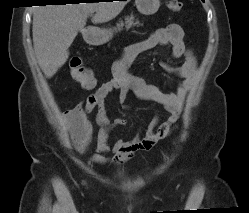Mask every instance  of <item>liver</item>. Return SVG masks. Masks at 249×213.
<instances>
[{
	"mask_svg": "<svg viewBox=\"0 0 249 213\" xmlns=\"http://www.w3.org/2000/svg\"><path fill=\"white\" fill-rule=\"evenodd\" d=\"M125 1L36 6L33 11V45L38 64L46 78L53 77L69 57V47L86 25L89 14L93 23L115 18Z\"/></svg>",
	"mask_w": 249,
	"mask_h": 213,
	"instance_id": "liver-1",
	"label": "liver"
}]
</instances>
